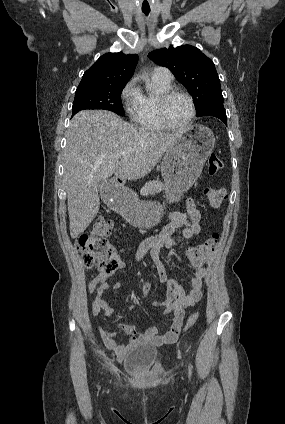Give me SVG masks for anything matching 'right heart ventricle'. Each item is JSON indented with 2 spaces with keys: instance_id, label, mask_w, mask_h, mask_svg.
Masks as SVG:
<instances>
[{
  "instance_id": "obj_1",
  "label": "right heart ventricle",
  "mask_w": 285,
  "mask_h": 424,
  "mask_svg": "<svg viewBox=\"0 0 285 424\" xmlns=\"http://www.w3.org/2000/svg\"><path fill=\"white\" fill-rule=\"evenodd\" d=\"M151 84L155 94L142 93L139 110L134 120L145 130L159 132L165 127L161 124L157 114V100L160 94L170 90V83H165L152 76Z\"/></svg>"
}]
</instances>
